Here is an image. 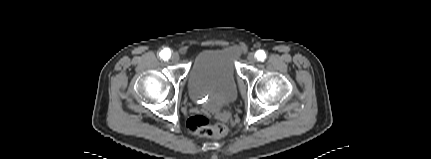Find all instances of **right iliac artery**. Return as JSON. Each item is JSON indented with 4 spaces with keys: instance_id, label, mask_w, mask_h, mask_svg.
<instances>
[{
    "instance_id": "right-iliac-artery-1",
    "label": "right iliac artery",
    "mask_w": 431,
    "mask_h": 159,
    "mask_svg": "<svg viewBox=\"0 0 431 159\" xmlns=\"http://www.w3.org/2000/svg\"><path fill=\"white\" fill-rule=\"evenodd\" d=\"M160 57L163 59V60H168L169 58H170V56H171V51H170V49L169 48H165L164 50H162L161 52H160Z\"/></svg>"
}]
</instances>
